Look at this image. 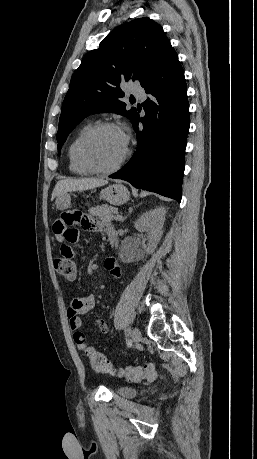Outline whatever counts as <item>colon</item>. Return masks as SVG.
Masks as SVG:
<instances>
[{
    "mask_svg": "<svg viewBox=\"0 0 257 459\" xmlns=\"http://www.w3.org/2000/svg\"><path fill=\"white\" fill-rule=\"evenodd\" d=\"M54 266L60 276L69 280L76 277L75 261H66V258L59 257L55 260ZM86 353L92 368L102 373L117 374L131 380L153 381L159 377V371L153 363H148L144 367H128L116 370L103 353L93 348H88Z\"/></svg>",
    "mask_w": 257,
    "mask_h": 459,
    "instance_id": "colon-1",
    "label": "colon"
}]
</instances>
